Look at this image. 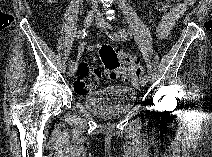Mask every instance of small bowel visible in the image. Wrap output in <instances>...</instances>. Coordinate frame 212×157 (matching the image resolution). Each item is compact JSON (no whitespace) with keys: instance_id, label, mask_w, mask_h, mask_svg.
Listing matches in <instances>:
<instances>
[{"instance_id":"1","label":"small bowel","mask_w":212,"mask_h":157,"mask_svg":"<svg viewBox=\"0 0 212 157\" xmlns=\"http://www.w3.org/2000/svg\"><path fill=\"white\" fill-rule=\"evenodd\" d=\"M192 2L189 1H185L184 3H181L179 5H177L172 12H170L169 14H167L166 16L163 17V19L161 20L160 24H159V35L161 38H165L168 36L169 32L171 31V29L173 28L174 24L176 23V21L179 19V17L183 14L185 7L190 5ZM94 50V47L92 46H87L85 44H80L79 45V53L80 54H86V53H90ZM80 67L83 68H87L89 67L87 63L82 62L80 65ZM138 78H134L132 81L134 82V84H136Z\"/></svg>"}]
</instances>
